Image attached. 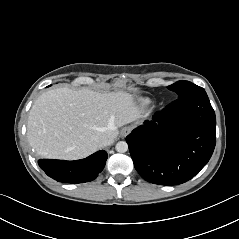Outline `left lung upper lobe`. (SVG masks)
<instances>
[{
	"label": "left lung upper lobe",
	"mask_w": 239,
	"mask_h": 239,
	"mask_svg": "<svg viewBox=\"0 0 239 239\" xmlns=\"http://www.w3.org/2000/svg\"><path fill=\"white\" fill-rule=\"evenodd\" d=\"M167 88L169 90L176 92L178 95V98H184L204 90L202 87H199L189 81H184V80L178 81L168 86Z\"/></svg>",
	"instance_id": "left-lung-upper-lobe-1"
}]
</instances>
